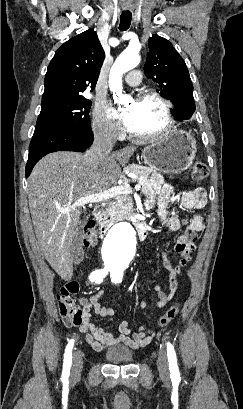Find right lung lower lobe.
Masks as SVG:
<instances>
[{"mask_svg": "<svg viewBox=\"0 0 243 409\" xmlns=\"http://www.w3.org/2000/svg\"><path fill=\"white\" fill-rule=\"evenodd\" d=\"M92 142L91 129L74 131L50 126H36L29 148L26 177L30 175L34 165L46 154L55 151L83 152Z\"/></svg>", "mask_w": 243, "mask_h": 409, "instance_id": "right-lung-lower-lobe-1", "label": "right lung lower lobe"}]
</instances>
